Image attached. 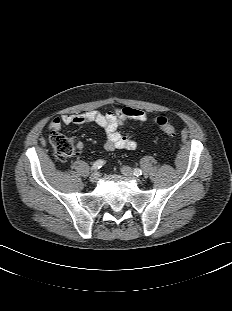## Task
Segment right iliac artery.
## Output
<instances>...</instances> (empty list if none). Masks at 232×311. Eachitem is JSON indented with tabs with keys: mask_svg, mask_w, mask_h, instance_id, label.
<instances>
[{
	"mask_svg": "<svg viewBox=\"0 0 232 311\" xmlns=\"http://www.w3.org/2000/svg\"><path fill=\"white\" fill-rule=\"evenodd\" d=\"M105 164V162L103 160H97L93 166H92V170H98L100 169L103 165Z\"/></svg>",
	"mask_w": 232,
	"mask_h": 311,
	"instance_id": "obj_1",
	"label": "right iliac artery"
}]
</instances>
